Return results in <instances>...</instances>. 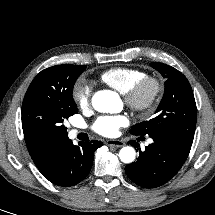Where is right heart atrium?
<instances>
[{
  "mask_svg": "<svg viewBox=\"0 0 215 215\" xmlns=\"http://www.w3.org/2000/svg\"><path fill=\"white\" fill-rule=\"evenodd\" d=\"M92 84L87 80L78 81L72 92L73 100L75 104L80 108H86L91 99Z\"/></svg>",
  "mask_w": 215,
  "mask_h": 215,
  "instance_id": "obj_1",
  "label": "right heart atrium"
}]
</instances>
